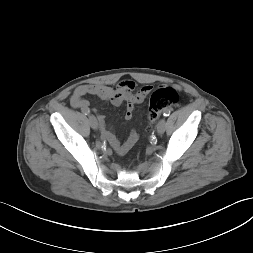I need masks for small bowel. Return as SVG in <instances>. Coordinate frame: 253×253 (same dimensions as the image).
<instances>
[{
  "label": "small bowel",
  "mask_w": 253,
  "mask_h": 253,
  "mask_svg": "<svg viewBox=\"0 0 253 253\" xmlns=\"http://www.w3.org/2000/svg\"><path fill=\"white\" fill-rule=\"evenodd\" d=\"M135 83L131 80L120 82L115 88L103 84H83L78 86L70 97V104L75 109L82 112L90 110L89 101L84 97L86 95H95L103 100H108L114 105H120L126 102L125 119L130 120L133 117L134 106L144 101L146 96L152 91V86L145 85L138 91H135ZM102 135L110 142L111 146L118 154H125L138 140V134L132 130L127 139L120 143L118 138L106 129L103 116H99Z\"/></svg>",
  "instance_id": "small-bowel-1"
}]
</instances>
